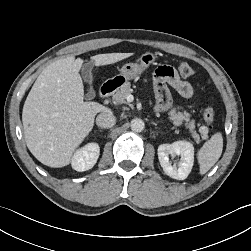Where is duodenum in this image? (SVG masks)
Returning a JSON list of instances; mask_svg holds the SVG:
<instances>
[{
  "mask_svg": "<svg viewBox=\"0 0 251 251\" xmlns=\"http://www.w3.org/2000/svg\"><path fill=\"white\" fill-rule=\"evenodd\" d=\"M119 86L118 81H109L105 83L99 90V96L101 98H106L110 96Z\"/></svg>",
  "mask_w": 251,
  "mask_h": 251,
  "instance_id": "1",
  "label": "duodenum"
}]
</instances>
